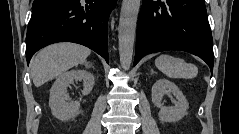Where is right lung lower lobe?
Returning a JSON list of instances; mask_svg holds the SVG:
<instances>
[{
  "instance_id": "1",
  "label": "right lung lower lobe",
  "mask_w": 239,
  "mask_h": 134,
  "mask_svg": "<svg viewBox=\"0 0 239 134\" xmlns=\"http://www.w3.org/2000/svg\"><path fill=\"white\" fill-rule=\"evenodd\" d=\"M116 0H34L27 28V63L36 51L56 42L79 43L108 56V18Z\"/></svg>"
}]
</instances>
